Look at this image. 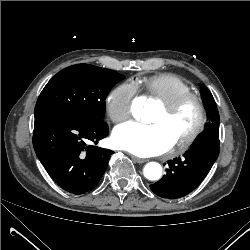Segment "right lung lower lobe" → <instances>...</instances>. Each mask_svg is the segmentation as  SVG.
Masks as SVG:
<instances>
[{
  "mask_svg": "<svg viewBox=\"0 0 250 250\" xmlns=\"http://www.w3.org/2000/svg\"><path fill=\"white\" fill-rule=\"evenodd\" d=\"M108 135V125L59 114L35 115L33 146L51 178L73 194L91 191L114 153L92 145Z\"/></svg>",
  "mask_w": 250,
  "mask_h": 250,
  "instance_id": "98d812e1",
  "label": "right lung lower lobe"
}]
</instances>
